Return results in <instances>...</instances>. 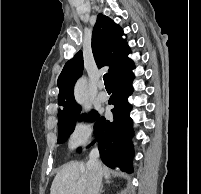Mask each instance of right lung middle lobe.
Listing matches in <instances>:
<instances>
[{"instance_id": "1", "label": "right lung middle lobe", "mask_w": 201, "mask_h": 194, "mask_svg": "<svg viewBox=\"0 0 201 194\" xmlns=\"http://www.w3.org/2000/svg\"><path fill=\"white\" fill-rule=\"evenodd\" d=\"M81 108H79L77 111H75L73 114L58 119V130H59V136H58V143H64L70 136V134L73 132L77 118L79 117ZM98 117V113L96 111L91 112V118L92 120H95ZM83 119V116L79 117V120Z\"/></svg>"}]
</instances>
